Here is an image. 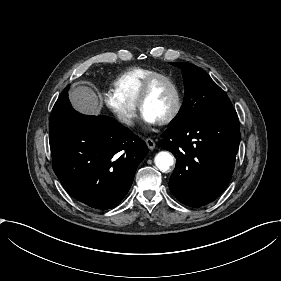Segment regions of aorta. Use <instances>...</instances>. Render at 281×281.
I'll return each instance as SVG.
<instances>
[{"instance_id":"aorta-1","label":"aorta","mask_w":281,"mask_h":281,"mask_svg":"<svg viewBox=\"0 0 281 281\" xmlns=\"http://www.w3.org/2000/svg\"><path fill=\"white\" fill-rule=\"evenodd\" d=\"M154 163L160 171L166 172L173 166L174 157L168 151H161L156 154Z\"/></svg>"}]
</instances>
